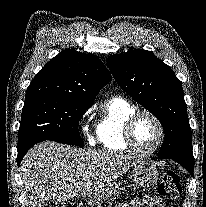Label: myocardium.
I'll use <instances>...</instances> for the list:
<instances>
[{
  "instance_id": "1",
  "label": "myocardium",
  "mask_w": 206,
  "mask_h": 207,
  "mask_svg": "<svg viewBox=\"0 0 206 207\" xmlns=\"http://www.w3.org/2000/svg\"><path fill=\"white\" fill-rule=\"evenodd\" d=\"M143 117L152 119L157 125L158 130H159L158 141L156 145L149 150H143L139 148L135 143L134 134H133L136 123L139 121V119ZM165 135H166L165 128H164L162 121L155 114L148 112V111H136L135 113H133L127 119V121L124 124V128H123V136H124L125 144L131 151L141 156H150L156 153L163 145L164 140H165Z\"/></svg>"
}]
</instances>
